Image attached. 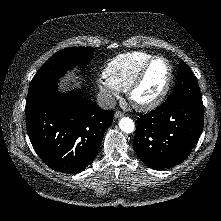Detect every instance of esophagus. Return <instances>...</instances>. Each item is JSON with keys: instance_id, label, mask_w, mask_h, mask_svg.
I'll return each instance as SVG.
<instances>
[{"instance_id": "34e87169", "label": "esophagus", "mask_w": 221, "mask_h": 221, "mask_svg": "<svg viewBox=\"0 0 221 221\" xmlns=\"http://www.w3.org/2000/svg\"><path fill=\"white\" fill-rule=\"evenodd\" d=\"M124 114H123V112H121V111H116L115 112V118H120V117H122Z\"/></svg>"}]
</instances>
